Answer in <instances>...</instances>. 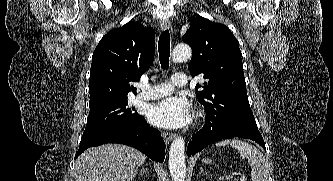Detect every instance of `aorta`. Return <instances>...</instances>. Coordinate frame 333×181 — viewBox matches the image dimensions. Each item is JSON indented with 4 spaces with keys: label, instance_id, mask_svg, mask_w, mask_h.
Here are the masks:
<instances>
[{
    "label": "aorta",
    "instance_id": "762f6f07",
    "mask_svg": "<svg viewBox=\"0 0 333 181\" xmlns=\"http://www.w3.org/2000/svg\"><path fill=\"white\" fill-rule=\"evenodd\" d=\"M191 56V49L188 45H178L174 48L172 59L174 62L186 61ZM169 170L173 181H184L186 174L185 141L177 137L169 150Z\"/></svg>",
    "mask_w": 333,
    "mask_h": 181
}]
</instances>
